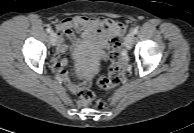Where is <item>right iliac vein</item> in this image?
<instances>
[{
  "label": "right iliac vein",
  "mask_w": 194,
  "mask_h": 133,
  "mask_svg": "<svg viewBox=\"0 0 194 133\" xmlns=\"http://www.w3.org/2000/svg\"><path fill=\"white\" fill-rule=\"evenodd\" d=\"M50 41L53 46L57 44V35L54 32H51L50 34Z\"/></svg>",
  "instance_id": "obj_1"
}]
</instances>
